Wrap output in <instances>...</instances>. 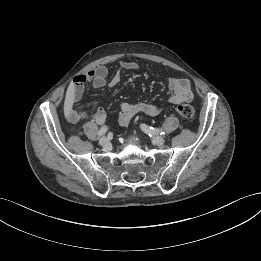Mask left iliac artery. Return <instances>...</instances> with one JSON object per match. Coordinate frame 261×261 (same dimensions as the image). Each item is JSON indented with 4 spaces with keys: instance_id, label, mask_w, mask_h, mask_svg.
Wrapping results in <instances>:
<instances>
[{
    "instance_id": "obj_1",
    "label": "left iliac artery",
    "mask_w": 261,
    "mask_h": 261,
    "mask_svg": "<svg viewBox=\"0 0 261 261\" xmlns=\"http://www.w3.org/2000/svg\"><path fill=\"white\" fill-rule=\"evenodd\" d=\"M141 129L144 132H146L147 134H149L150 136L153 135V134H160V135H164L165 134L161 129L149 127L146 124H141Z\"/></svg>"
}]
</instances>
